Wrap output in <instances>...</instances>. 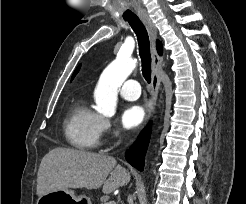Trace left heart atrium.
I'll list each match as a JSON object with an SVG mask.
<instances>
[{"label":"left heart atrium","instance_id":"1","mask_svg":"<svg viewBox=\"0 0 246 204\" xmlns=\"http://www.w3.org/2000/svg\"><path fill=\"white\" fill-rule=\"evenodd\" d=\"M145 111L140 105L126 106L120 116L121 125L125 129L138 127L144 120Z\"/></svg>","mask_w":246,"mask_h":204}]
</instances>
